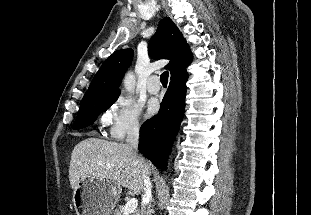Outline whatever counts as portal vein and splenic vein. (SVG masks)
<instances>
[{
  "label": "portal vein and splenic vein",
  "instance_id": "18ae733b",
  "mask_svg": "<svg viewBox=\"0 0 311 215\" xmlns=\"http://www.w3.org/2000/svg\"><path fill=\"white\" fill-rule=\"evenodd\" d=\"M137 206H138L137 199L136 198L130 199L124 206V215H129L133 213L137 209Z\"/></svg>",
  "mask_w": 311,
  "mask_h": 215
}]
</instances>
